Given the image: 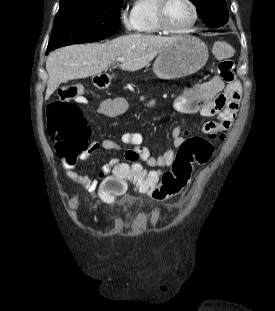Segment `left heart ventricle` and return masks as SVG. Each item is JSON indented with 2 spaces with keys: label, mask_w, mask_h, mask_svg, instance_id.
<instances>
[{
  "label": "left heart ventricle",
  "mask_w": 275,
  "mask_h": 311,
  "mask_svg": "<svg viewBox=\"0 0 275 311\" xmlns=\"http://www.w3.org/2000/svg\"><path fill=\"white\" fill-rule=\"evenodd\" d=\"M192 9L186 0H171L167 9V22L171 28L185 27L192 19Z\"/></svg>",
  "instance_id": "obj_1"
}]
</instances>
